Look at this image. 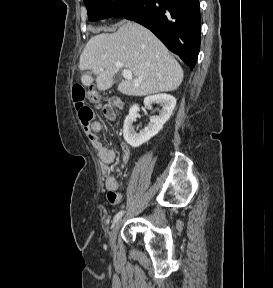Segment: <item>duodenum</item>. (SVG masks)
<instances>
[{"label":"duodenum","mask_w":273,"mask_h":288,"mask_svg":"<svg viewBox=\"0 0 273 288\" xmlns=\"http://www.w3.org/2000/svg\"><path fill=\"white\" fill-rule=\"evenodd\" d=\"M112 105H115V102H111Z\"/></svg>","instance_id":"obj_1"}]
</instances>
